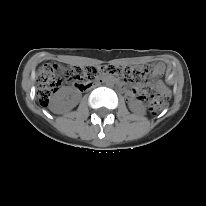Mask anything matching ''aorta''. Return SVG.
I'll list each match as a JSON object with an SVG mask.
<instances>
[{
    "label": "aorta",
    "mask_w": 206,
    "mask_h": 206,
    "mask_svg": "<svg viewBox=\"0 0 206 206\" xmlns=\"http://www.w3.org/2000/svg\"><path fill=\"white\" fill-rule=\"evenodd\" d=\"M106 85L108 86V87H111V86H113V80L112 79H107L106 80Z\"/></svg>",
    "instance_id": "aorta-1"
}]
</instances>
